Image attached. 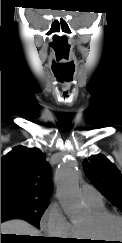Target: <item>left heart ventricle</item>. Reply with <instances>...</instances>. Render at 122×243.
Returning a JSON list of instances; mask_svg holds the SVG:
<instances>
[{
    "label": "left heart ventricle",
    "mask_w": 122,
    "mask_h": 243,
    "mask_svg": "<svg viewBox=\"0 0 122 243\" xmlns=\"http://www.w3.org/2000/svg\"><path fill=\"white\" fill-rule=\"evenodd\" d=\"M90 218L82 224L81 227L88 225ZM98 235L107 239H122V222L118 219L111 218L107 220L99 229ZM116 243L117 241H107Z\"/></svg>",
    "instance_id": "1"
}]
</instances>
